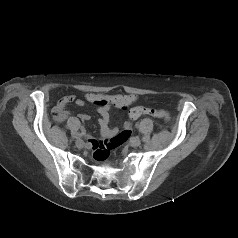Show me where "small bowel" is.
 Wrapping results in <instances>:
<instances>
[{
  "instance_id": "obj_1",
  "label": "small bowel",
  "mask_w": 238,
  "mask_h": 238,
  "mask_svg": "<svg viewBox=\"0 0 238 238\" xmlns=\"http://www.w3.org/2000/svg\"><path fill=\"white\" fill-rule=\"evenodd\" d=\"M134 98L127 95H115V96H107L100 93H87L85 94V99L77 98L74 95L66 96L62 98L58 104L53 109L54 118L58 122H63L69 117V113L66 111V107L75 103L76 105L82 107L87 102L93 103L97 105V111L100 114L99 119V127L100 133L102 137L110 138L115 136L118 133V129H111L109 127L110 123V115L109 111L112 105L119 108H127L132 102ZM81 120L86 121L90 119V116L87 114H80L78 116ZM137 119V118H136ZM94 144V140L91 141Z\"/></svg>"
}]
</instances>
